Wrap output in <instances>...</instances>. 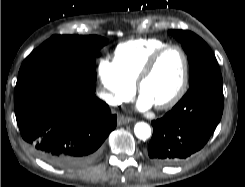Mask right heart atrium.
Segmentation results:
<instances>
[{"label": "right heart atrium", "instance_id": "1", "mask_svg": "<svg viewBox=\"0 0 245 187\" xmlns=\"http://www.w3.org/2000/svg\"><path fill=\"white\" fill-rule=\"evenodd\" d=\"M97 72L100 81L99 95L108 105L116 106L132 97L135 85L126 79L113 60L100 58Z\"/></svg>", "mask_w": 245, "mask_h": 187}]
</instances>
